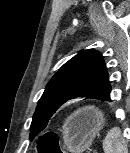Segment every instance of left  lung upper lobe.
<instances>
[{
    "instance_id": "1",
    "label": "left lung upper lobe",
    "mask_w": 130,
    "mask_h": 153,
    "mask_svg": "<svg viewBox=\"0 0 130 153\" xmlns=\"http://www.w3.org/2000/svg\"><path fill=\"white\" fill-rule=\"evenodd\" d=\"M109 85L102 55L93 49L78 53L46 85L33 115L30 139L46 128L51 117L68 100L77 97L100 100Z\"/></svg>"
}]
</instances>
